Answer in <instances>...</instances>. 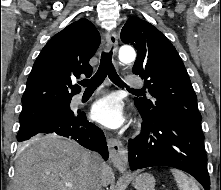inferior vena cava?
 <instances>
[{"instance_id": "602c4592", "label": "inferior vena cava", "mask_w": 221, "mask_h": 190, "mask_svg": "<svg viewBox=\"0 0 221 190\" xmlns=\"http://www.w3.org/2000/svg\"><path fill=\"white\" fill-rule=\"evenodd\" d=\"M104 162L102 158L93 153L89 164V176L86 190H102V169Z\"/></svg>"}]
</instances>
